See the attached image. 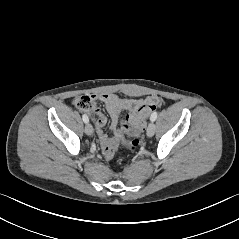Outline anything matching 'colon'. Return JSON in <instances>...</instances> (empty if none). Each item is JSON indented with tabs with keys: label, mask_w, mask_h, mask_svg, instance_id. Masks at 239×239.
<instances>
[{
	"label": "colon",
	"mask_w": 239,
	"mask_h": 239,
	"mask_svg": "<svg viewBox=\"0 0 239 239\" xmlns=\"http://www.w3.org/2000/svg\"><path fill=\"white\" fill-rule=\"evenodd\" d=\"M74 105L82 111H90L93 107V103L89 96L77 97L74 100ZM155 107L156 104H143L135 114L129 116L124 127L132 133V136L123 140L122 144L125 149L133 150L139 145V137L144 130L146 118Z\"/></svg>",
	"instance_id": "5ec220e1"
}]
</instances>
